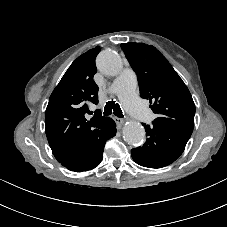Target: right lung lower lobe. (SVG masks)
<instances>
[{"instance_id": "right-lung-lower-lobe-1", "label": "right lung lower lobe", "mask_w": 227, "mask_h": 227, "mask_svg": "<svg viewBox=\"0 0 227 227\" xmlns=\"http://www.w3.org/2000/svg\"><path fill=\"white\" fill-rule=\"evenodd\" d=\"M116 132V124L112 118H109L100 133L94 137L91 145L65 158L60 163L75 172L95 168L102 161L105 142L114 137Z\"/></svg>"}]
</instances>
